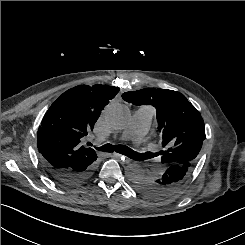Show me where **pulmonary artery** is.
Listing matches in <instances>:
<instances>
[{
	"label": "pulmonary artery",
	"instance_id": "obj_1",
	"mask_svg": "<svg viewBox=\"0 0 245 245\" xmlns=\"http://www.w3.org/2000/svg\"><path fill=\"white\" fill-rule=\"evenodd\" d=\"M155 111L152 107L141 106L137 108L132 119L122 134L123 140H140L149 129Z\"/></svg>",
	"mask_w": 245,
	"mask_h": 245
}]
</instances>
